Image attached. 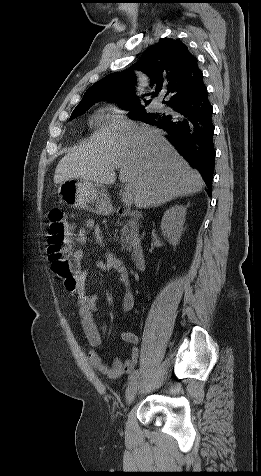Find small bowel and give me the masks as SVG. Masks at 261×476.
Wrapping results in <instances>:
<instances>
[{
    "instance_id": "small-bowel-1",
    "label": "small bowel",
    "mask_w": 261,
    "mask_h": 476,
    "mask_svg": "<svg viewBox=\"0 0 261 476\" xmlns=\"http://www.w3.org/2000/svg\"><path fill=\"white\" fill-rule=\"evenodd\" d=\"M92 232L95 241L103 246V236L100 226L90 218H87L83 222V226L78 230L76 234V241L83 247L88 243L89 233ZM85 257L84 249H77L71 255V261L77 270V284L74 290H69L77 298L78 313L80 317V323L84 334L92 347L89 351L88 359L90 364L103 375L115 379L124 374L132 372L138 363L140 357V351L137 347L138 337L135 333L125 331L122 333V340L131 345L130 353L127 359L121 361L115 359L111 365L104 362L102 356L96 350L103 343V339L106 333V326L104 324L98 325L95 321V313L97 311V305L99 303V296L97 294H87L85 289V282L87 277V271L81 270V263ZM96 267L103 271L114 270L119 274V279L124 286V295L122 299V308L125 311L130 310L134 304V295L131 287L130 274L127 266L123 261L113 254L107 252L104 259L96 262Z\"/></svg>"
}]
</instances>
